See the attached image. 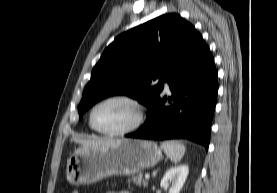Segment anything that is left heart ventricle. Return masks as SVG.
<instances>
[{"label": "left heart ventricle", "mask_w": 277, "mask_h": 193, "mask_svg": "<svg viewBox=\"0 0 277 193\" xmlns=\"http://www.w3.org/2000/svg\"><path fill=\"white\" fill-rule=\"evenodd\" d=\"M137 117L134 106L123 101L100 105L94 113L96 126L104 131H119L132 125Z\"/></svg>", "instance_id": "b2bd125f"}]
</instances>
